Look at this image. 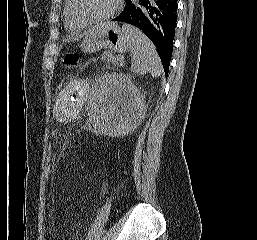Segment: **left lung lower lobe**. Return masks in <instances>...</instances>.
<instances>
[{
    "mask_svg": "<svg viewBox=\"0 0 257 240\" xmlns=\"http://www.w3.org/2000/svg\"><path fill=\"white\" fill-rule=\"evenodd\" d=\"M177 0H126L124 10L113 20L135 26L153 42L168 76L177 25Z\"/></svg>",
    "mask_w": 257,
    "mask_h": 240,
    "instance_id": "0a47b994",
    "label": "left lung lower lobe"
}]
</instances>
